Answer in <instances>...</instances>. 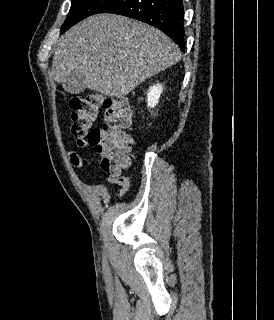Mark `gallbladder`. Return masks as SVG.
Returning <instances> with one entry per match:
<instances>
[{
    "instance_id": "obj_1",
    "label": "gallbladder",
    "mask_w": 274,
    "mask_h": 320,
    "mask_svg": "<svg viewBox=\"0 0 274 320\" xmlns=\"http://www.w3.org/2000/svg\"><path fill=\"white\" fill-rule=\"evenodd\" d=\"M65 85L69 95H82L87 89V79L81 69H76V72L69 73V78H65Z\"/></svg>"
}]
</instances>
